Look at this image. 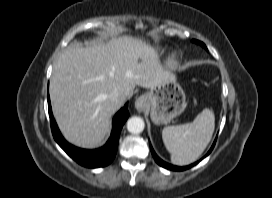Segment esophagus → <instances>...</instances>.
I'll return each instance as SVG.
<instances>
[{"mask_svg":"<svg viewBox=\"0 0 272 198\" xmlns=\"http://www.w3.org/2000/svg\"><path fill=\"white\" fill-rule=\"evenodd\" d=\"M146 106H147L146 96L141 95L135 100V108L137 109V111H139V112L144 111Z\"/></svg>","mask_w":272,"mask_h":198,"instance_id":"1","label":"esophagus"}]
</instances>
